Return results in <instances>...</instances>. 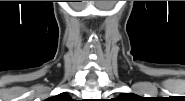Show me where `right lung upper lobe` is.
Masks as SVG:
<instances>
[{
	"mask_svg": "<svg viewBox=\"0 0 185 101\" xmlns=\"http://www.w3.org/2000/svg\"><path fill=\"white\" fill-rule=\"evenodd\" d=\"M52 101H71V97L66 93H61L57 96L51 97Z\"/></svg>",
	"mask_w": 185,
	"mask_h": 101,
	"instance_id": "right-lung-upper-lobe-1",
	"label": "right lung upper lobe"
}]
</instances>
